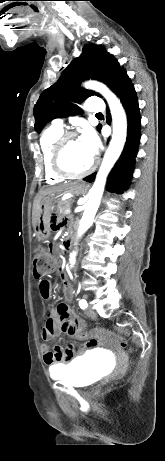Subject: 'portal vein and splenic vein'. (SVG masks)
Returning a JSON list of instances; mask_svg holds the SVG:
<instances>
[{
	"mask_svg": "<svg viewBox=\"0 0 165 461\" xmlns=\"http://www.w3.org/2000/svg\"><path fill=\"white\" fill-rule=\"evenodd\" d=\"M70 213H71V209H70V208H68V209L65 210V214H66V215H68V214H70Z\"/></svg>",
	"mask_w": 165,
	"mask_h": 461,
	"instance_id": "18ae733b",
	"label": "portal vein and splenic vein"
}]
</instances>
